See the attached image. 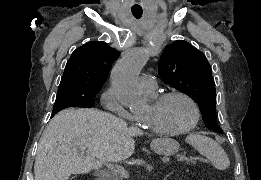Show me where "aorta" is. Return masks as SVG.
I'll list each match as a JSON object with an SVG mask.
<instances>
[{"label":"aorta","instance_id":"1","mask_svg":"<svg viewBox=\"0 0 261 180\" xmlns=\"http://www.w3.org/2000/svg\"><path fill=\"white\" fill-rule=\"evenodd\" d=\"M147 60V51L136 49L122 57L111 72L112 87L119 102L131 110L139 109L144 104L137 79Z\"/></svg>","mask_w":261,"mask_h":180}]
</instances>
